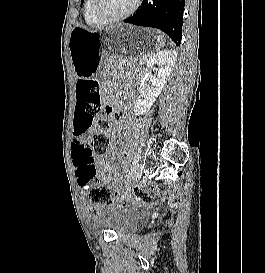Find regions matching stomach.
Returning a JSON list of instances; mask_svg holds the SVG:
<instances>
[{
	"instance_id": "0dacf381",
	"label": "stomach",
	"mask_w": 265,
	"mask_h": 273,
	"mask_svg": "<svg viewBox=\"0 0 265 273\" xmlns=\"http://www.w3.org/2000/svg\"><path fill=\"white\" fill-rule=\"evenodd\" d=\"M145 28V25H111V29L97 31L73 28L69 51L75 74L95 78V73L116 69V64H137L142 56H155V51L150 50L160 49L165 40L156 35V30Z\"/></svg>"
}]
</instances>
